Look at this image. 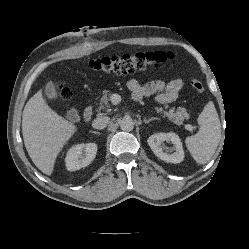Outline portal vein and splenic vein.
I'll list each match as a JSON object with an SVG mask.
<instances>
[{
    "label": "portal vein and splenic vein",
    "mask_w": 249,
    "mask_h": 249,
    "mask_svg": "<svg viewBox=\"0 0 249 249\" xmlns=\"http://www.w3.org/2000/svg\"><path fill=\"white\" fill-rule=\"evenodd\" d=\"M112 104L117 105L121 101V97L118 94H114L111 98ZM185 128L189 131H193V126L192 125H185Z\"/></svg>",
    "instance_id": "obj_1"
}]
</instances>
